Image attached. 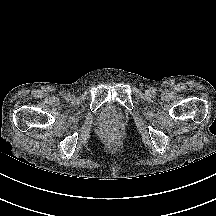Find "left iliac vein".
I'll return each mask as SVG.
<instances>
[{
  "label": "left iliac vein",
  "instance_id": "4c4485c4",
  "mask_svg": "<svg viewBox=\"0 0 216 216\" xmlns=\"http://www.w3.org/2000/svg\"><path fill=\"white\" fill-rule=\"evenodd\" d=\"M147 95H151L152 94V88H150L149 90L146 91Z\"/></svg>",
  "mask_w": 216,
  "mask_h": 216
}]
</instances>
